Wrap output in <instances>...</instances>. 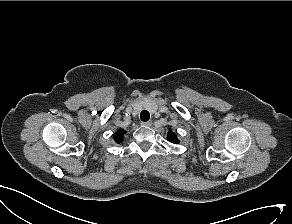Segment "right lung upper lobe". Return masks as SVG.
<instances>
[{
    "mask_svg": "<svg viewBox=\"0 0 292 224\" xmlns=\"http://www.w3.org/2000/svg\"><path fill=\"white\" fill-rule=\"evenodd\" d=\"M125 133H126V131H124V130H122V129L118 130V131L114 134V136H113L114 141H115L116 143H120V142H122L123 139H124V134H125Z\"/></svg>",
    "mask_w": 292,
    "mask_h": 224,
    "instance_id": "cb5924a9",
    "label": "right lung upper lobe"
}]
</instances>
